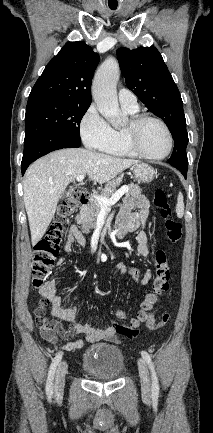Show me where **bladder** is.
Listing matches in <instances>:
<instances>
[{
    "label": "bladder",
    "instance_id": "31cf9c89",
    "mask_svg": "<svg viewBox=\"0 0 213 433\" xmlns=\"http://www.w3.org/2000/svg\"><path fill=\"white\" fill-rule=\"evenodd\" d=\"M82 368L97 379H116L124 371V355L115 345L98 343L83 354Z\"/></svg>",
    "mask_w": 213,
    "mask_h": 433
}]
</instances>
